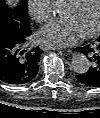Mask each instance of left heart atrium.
Wrapping results in <instances>:
<instances>
[{
  "mask_svg": "<svg viewBox=\"0 0 100 118\" xmlns=\"http://www.w3.org/2000/svg\"><path fill=\"white\" fill-rule=\"evenodd\" d=\"M82 35V30L73 19L53 20L39 31L43 41L56 46L72 45Z\"/></svg>",
  "mask_w": 100,
  "mask_h": 118,
  "instance_id": "obj_1",
  "label": "left heart atrium"
}]
</instances>
